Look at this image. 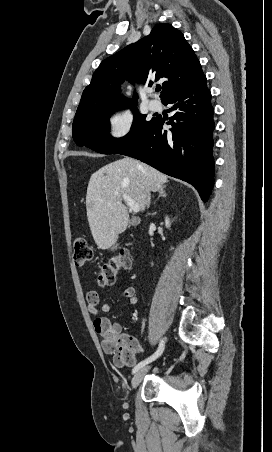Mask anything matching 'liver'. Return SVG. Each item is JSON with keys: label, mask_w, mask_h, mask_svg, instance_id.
Masks as SVG:
<instances>
[{"label": "liver", "mask_w": 272, "mask_h": 452, "mask_svg": "<svg viewBox=\"0 0 272 452\" xmlns=\"http://www.w3.org/2000/svg\"><path fill=\"white\" fill-rule=\"evenodd\" d=\"M168 178L155 168L125 157L111 162L90 177L86 210L91 234L100 249H108L128 226L122 195L130 196L142 212L149 191H158Z\"/></svg>", "instance_id": "liver-1"}]
</instances>
